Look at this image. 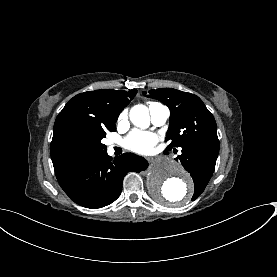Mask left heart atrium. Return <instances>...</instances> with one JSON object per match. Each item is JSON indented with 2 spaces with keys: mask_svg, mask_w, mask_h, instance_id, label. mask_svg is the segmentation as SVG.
I'll list each match as a JSON object with an SVG mask.
<instances>
[{
  "mask_svg": "<svg viewBox=\"0 0 277 277\" xmlns=\"http://www.w3.org/2000/svg\"><path fill=\"white\" fill-rule=\"evenodd\" d=\"M155 140V135L151 132L134 130L128 135L124 145L133 152L149 154L153 151Z\"/></svg>",
  "mask_w": 277,
  "mask_h": 277,
  "instance_id": "1",
  "label": "left heart atrium"
}]
</instances>
